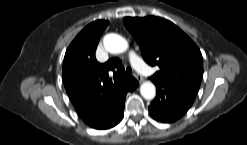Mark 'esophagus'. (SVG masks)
I'll list each match as a JSON object with an SVG mask.
<instances>
[{
  "instance_id": "34e87169",
  "label": "esophagus",
  "mask_w": 247,
  "mask_h": 145,
  "mask_svg": "<svg viewBox=\"0 0 247 145\" xmlns=\"http://www.w3.org/2000/svg\"><path fill=\"white\" fill-rule=\"evenodd\" d=\"M135 78L139 81V83L143 82V77L139 74H135Z\"/></svg>"
}]
</instances>
